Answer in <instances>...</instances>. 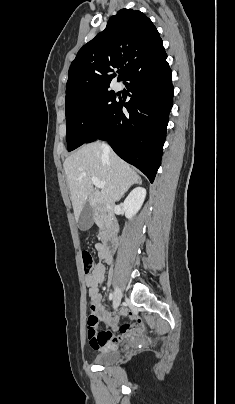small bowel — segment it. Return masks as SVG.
Instances as JSON below:
<instances>
[{
  "instance_id": "1",
  "label": "small bowel",
  "mask_w": 235,
  "mask_h": 404,
  "mask_svg": "<svg viewBox=\"0 0 235 404\" xmlns=\"http://www.w3.org/2000/svg\"><path fill=\"white\" fill-rule=\"evenodd\" d=\"M95 249L98 253L100 262H98L93 270L85 276V283L89 289V297L91 300V311L98 318H100L105 325L109 328L107 330L96 332L93 334L88 330V339L90 346L97 350H110L114 349L118 343L128 339L132 335H138L143 331L140 324L132 325L124 323L118 325L116 319H114L106 307L102 304V295L99 292V286L105 279L106 267L104 263H110L107 261V252L102 243H96ZM124 315H128L132 318H137L135 313L130 308L123 310ZM118 332V335H115Z\"/></svg>"
}]
</instances>
